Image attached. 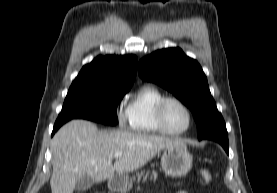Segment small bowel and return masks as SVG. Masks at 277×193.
<instances>
[{"mask_svg":"<svg viewBox=\"0 0 277 193\" xmlns=\"http://www.w3.org/2000/svg\"><path fill=\"white\" fill-rule=\"evenodd\" d=\"M177 193H188L186 190H180Z\"/></svg>","mask_w":277,"mask_h":193,"instance_id":"small-bowel-1","label":"small bowel"}]
</instances>
